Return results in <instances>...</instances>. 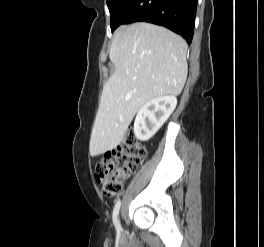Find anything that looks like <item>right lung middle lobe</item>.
<instances>
[{
	"mask_svg": "<svg viewBox=\"0 0 264 247\" xmlns=\"http://www.w3.org/2000/svg\"><path fill=\"white\" fill-rule=\"evenodd\" d=\"M130 1L131 0H107V6L111 15L110 26L112 32L118 26V17L121 15Z\"/></svg>",
	"mask_w": 264,
	"mask_h": 247,
	"instance_id": "right-lung-middle-lobe-1",
	"label": "right lung middle lobe"
}]
</instances>
